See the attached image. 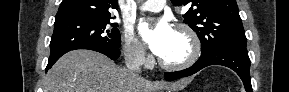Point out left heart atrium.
Wrapping results in <instances>:
<instances>
[{"mask_svg": "<svg viewBox=\"0 0 289 92\" xmlns=\"http://www.w3.org/2000/svg\"><path fill=\"white\" fill-rule=\"evenodd\" d=\"M138 30L149 49L159 57L168 51L175 33L171 24L165 19L142 22Z\"/></svg>", "mask_w": 289, "mask_h": 92, "instance_id": "obj_1", "label": "left heart atrium"}]
</instances>
